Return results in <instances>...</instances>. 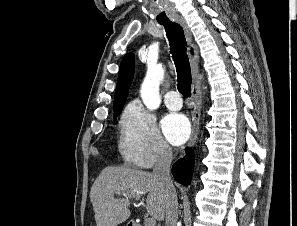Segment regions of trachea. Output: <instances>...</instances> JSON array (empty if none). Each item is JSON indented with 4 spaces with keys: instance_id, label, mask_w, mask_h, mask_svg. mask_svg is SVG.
I'll return each instance as SVG.
<instances>
[{
    "instance_id": "obj_1",
    "label": "trachea",
    "mask_w": 297,
    "mask_h": 226,
    "mask_svg": "<svg viewBox=\"0 0 297 226\" xmlns=\"http://www.w3.org/2000/svg\"><path fill=\"white\" fill-rule=\"evenodd\" d=\"M165 27L170 43L172 58L177 71L178 91L185 97L191 94V69L186 53V38L183 28L178 23L160 22Z\"/></svg>"
}]
</instances>
